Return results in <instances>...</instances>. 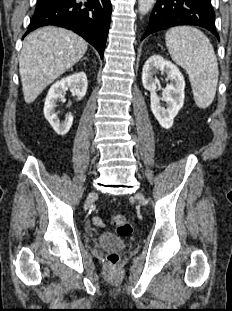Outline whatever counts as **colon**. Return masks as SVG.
Segmentation results:
<instances>
[{
  "instance_id": "obj_1",
  "label": "colon",
  "mask_w": 232,
  "mask_h": 311,
  "mask_svg": "<svg viewBox=\"0 0 232 311\" xmlns=\"http://www.w3.org/2000/svg\"><path fill=\"white\" fill-rule=\"evenodd\" d=\"M111 225L122 237H127L132 233V224L128 217H126L125 215H115L111 219ZM107 261L110 266L115 267L120 261V256L116 252L109 253L107 256Z\"/></svg>"
}]
</instances>
